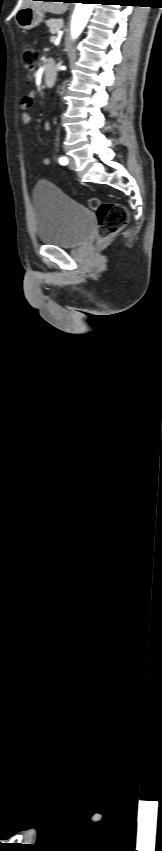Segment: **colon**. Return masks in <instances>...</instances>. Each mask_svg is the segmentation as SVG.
<instances>
[{"instance_id": "5ec220e1", "label": "colon", "mask_w": 162, "mask_h": 851, "mask_svg": "<svg viewBox=\"0 0 162 851\" xmlns=\"http://www.w3.org/2000/svg\"><path fill=\"white\" fill-rule=\"evenodd\" d=\"M38 62L37 51L29 44L22 50L23 68L31 73ZM89 206L97 213L98 228L97 238L99 242H105L116 233L120 232L127 224L129 215L126 207L117 202H101L97 198L89 199Z\"/></svg>"}]
</instances>
